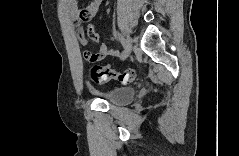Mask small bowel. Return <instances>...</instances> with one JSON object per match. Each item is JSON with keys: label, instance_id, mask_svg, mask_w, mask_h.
I'll return each mask as SVG.
<instances>
[{"label": "small bowel", "instance_id": "1", "mask_svg": "<svg viewBox=\"0 0 239 156\" xmlns=\"http://www.w3.org/2000/svg\"><path fill=\"white\" fill-rule=\"evenodd\" d=\"M66 5L69 12L73 15V24L75 27L76 36L79 39L80 43L85 46L87 44V39L82 29V20L79 19V14L81 11L85 10L89 13L90 19L94 18L98 13L99 7L101 5V0H92L83 10H80L74 1H67ZM87 34L91 40L95 42L99 41V34L93 25L88 26ZM116 55H118V52L109 49L105 43H100L98 46V51L95 53L85 52L86 59L91 63L101 61L107 56Z\"/></svg>", "mask_w": 239, "mask_h": 156}]
</instances>
